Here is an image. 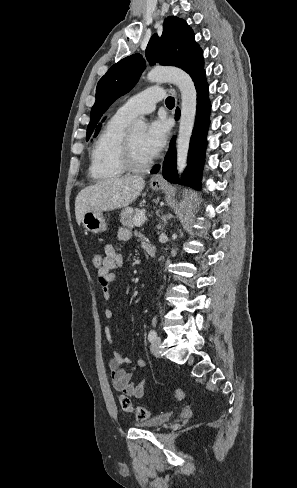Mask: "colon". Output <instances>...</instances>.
Returning <instances> with one entry per match:
<instances>
[{
  "label": "colon",
  "instance_id": "1",
  "mask_svg": "<svg viewBox=\"0 0 297 488\" xmlns=\"http://www.w3.org/2000/svg\"><path fill=\"white\" fill-rule=\"evenodd\" d=\"M93 266L98 270L102 266V256L100 254H94L92 256ZM175 399L177 401H182L184 399V392L180 389L175 391ZM118 400L121 408L128 413H134L138 420H146L150 417L151 412L149 409L142 406H134L130 398L121 393L118 396Z\"/></svg>",
  "mask_w": 297,
  "mask_h": 488
}]
</instances>
